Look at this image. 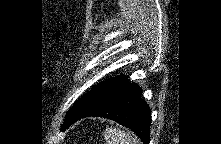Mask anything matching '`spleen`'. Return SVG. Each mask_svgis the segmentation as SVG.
I'll use <instances>...</instances> for the list:
<instances>
[{
    "mask_svg": "<svg viewBox=\"0 0 221 144\" xmlns=\"http://www.w3.org/2000/svg\"><path fill=\"white\" fill-rule=\"evenodd\" d=\"M104 138L106 144H140L133 135L115 127L106 128Z\"/></svg>",
    "mask_w": 221,
    "mask_h": 144,
    "instance_id": "spleen-1",
    "label": "spleen"
}]
</instances>
